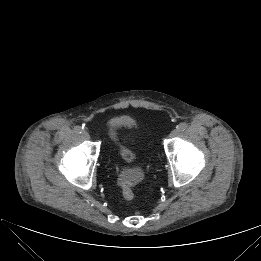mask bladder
<instances>
[{"label": "bladder", "mask_w": 261, "mask_h": 261, "mask_svg": "<svg viewBox=\"0 0 261 261\" xmlns=\"http://www.w3.org/2000/svg\"><path fill=\"white\" fill-rule=\"evenodd\" d=\"M137 125L133 119L122 116L112 120L109 124V131L112 141L115 145L118 158L126 164H132L137 160V152L134 148L124 143L121 139V128H136Z\"/></svg>", "instance_id": "obj_1"}]
</instances>
